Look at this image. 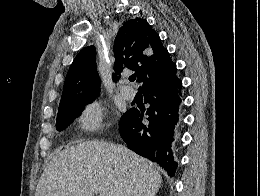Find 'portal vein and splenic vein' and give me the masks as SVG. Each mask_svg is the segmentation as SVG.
I'll list each match as a JSON object with an SVG mask.
<instances>
[{
  "label": "portal vein and splenic vein",
  "mask_w": 260,
  "mask_h": 196,
  "mask_svg": "<svg viewBox=\"0 0 260 196\" xmlns=\"http://www.w3.org/2000/svg\"><path fill=\"white\" fill-rule=\"evenodd\" d=\"M94 196H102V194H99V192H95Z\"/></svg>",
  "instance_id": "18ae733b"
}]
</instances>
